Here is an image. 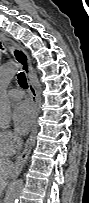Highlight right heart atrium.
<instances>
[{
	"label": "right heart atrium",
	"mask_w": 89,
	"mask_h": 203,
	"mask_svg": "<svg viewBox=\"0 0 89 203\" xmlns=\"http://www.w3.org/2000/svg\"><path fill=\"white\" fill-rule=\"evenodd\" d=\"M2 137L5 144L12 150H15L20 144V138L9 129H6L2 132Z\"/></svg>",
	"instance_id": "obj_1"
}]
</instances>
